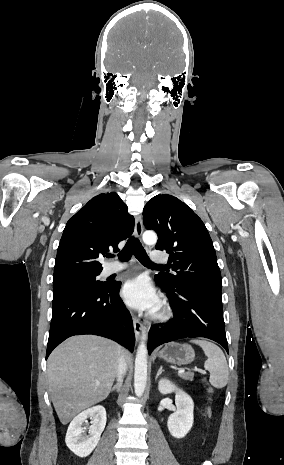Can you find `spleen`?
<instances>
[{
    "instance_id": "1",
    "label": "spleen",
    "mask_w": 284,
    "mask_h": 465,
    "mask_svg": "<svg viewBox=\"0 0 284 465\" xmlns=\"http://www.w3.org/2000/svg\"><path fill=\"white\" fill-rule=\"evenodd\" d=\"M195 345H199L203 349L207 361L204 363L206 371L210 373L209 383L215 389H223L228 383L229 369L226 357L214 343H209L208 339L205 341H191Z\"/></svg>"
}]
</instances>
